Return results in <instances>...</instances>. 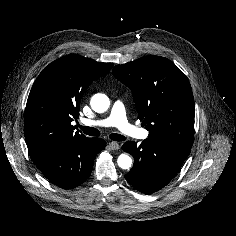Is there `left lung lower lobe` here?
<instances>
[{
  "label": "left lung lower lobe",
  "mask_w": 236,
  "mask_h": 236,
  "mask_svg": "<svg viewBox=\"0 0 236 236\" xmlns=\"http://www.w3.org/2000/svg\"><path fill=\"white\" fill-rule=\"evenodd\" d=\"M122 149L134 158L126 180L138 191L151 194L166 186L176 175L191 148L148 137L140 145L128 141Z\"/></svg>",
  "instance_id": "0a47b994"
}]
</instances>
